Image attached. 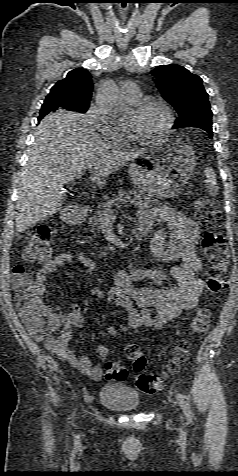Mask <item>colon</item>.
<instances>
[{
  "mask_svg": "<svg viewBox=\"0 0 238 476\" xmlns=\"http://www.w3.org/2000/svg\"><path fill=\"white\" fill-rule=\"evenodd\" d=\"M195 215L198 222L206 228L201 245L210 265L207 278V287L213 293L224 290L227 286V269L229 247L224 236L215 229L221 214L217 206L208 198H199L195 205ZM54 231L49 226L39 227L28 238L23 257L26 261H47L52 256L51 238ZM12 284L15 292V304L25 322L29 332L36 338H45L51 349L58 348L70 335L69 330H50L46 327L47 310L40 300L33 281L27 269L17 265L12 271ZM210 314L201 309L192 318L190 328L192 332L201 334L209 327ZM126 356L132 369L138 373L135 385L145 394L157 393L163 385L164 378L155 374L145 373L146 357L142 349L133 343L125 346ZM188 344L180 343L170 366V372H177L181 363L186 359ZM107 379L123 380L127 376V369L122 363L109 362L105 366Z\"/></svg>",
  "mask_w": 238,
  "mask_h": 476,
  "instance_id": "1",
  "label": "colon"
}]
</instances>
